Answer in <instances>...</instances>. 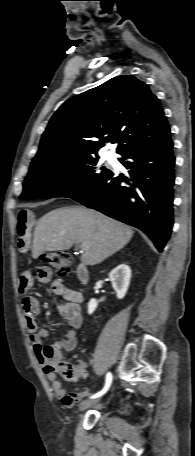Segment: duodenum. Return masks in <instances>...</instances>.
Segmentation results:
<instances>
[{"mask_svg":"<svg viewBox=\"0 0 195 456\" xmlns=\"http://www.w3.org/2000/svg\"><path fill=\"white\" fill-rule=\"evenodd\" d=\"M76 276L78 280L86 284L89 281V270L84 263H80L76 268Z\"/></svg>","mask_w":195,"mask_h":456,"instance_id":"obj_1","label":"duodenum"}]
</instances>
